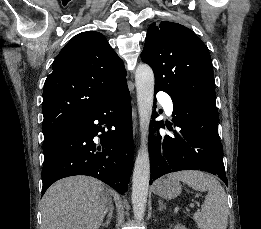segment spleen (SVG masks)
Listing matches in <instances>:
<instances>
[{
  "label": "spleen",
  "mask_w": 261,
  "mask_h": 229,
  "mask_svg": "<svg viewBox=\"0 0 261 229\" xmlns=\"http://www.w3.org/2000/svg\"><path fill=\"white\" fill-rule=\"evenodd\" d=\"M168 179L182 181L195 191H208L200 213L194 215V221L199 229H227L229 213L227 197L217 179L201 171L169 173Z\"/></svg>",
  "instance_id": "spleen-1"
}]
</instances>
